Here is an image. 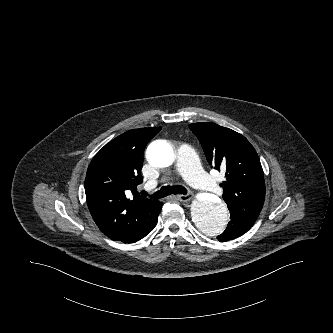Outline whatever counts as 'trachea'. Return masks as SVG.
Listing matches in <instances>:
<instances>
[{"mask_svg":"<svg viewBox=\"0 0 333 333\" xmlns=\"http://www.w3.org/2000/svg\"><path fill=\"white\" fill-rule=\"evenodd\" d=\"M187 194V189L181 185H175V186H162L160 190H158L156 193L152 195L153 198H164L171 194ZM141 194L143 196H147V192L142 191Z\"/></svg>","mask_w":333,"mask_h":333,"instance_id":"trachea-1","label":"trachea"}]
</instances>
